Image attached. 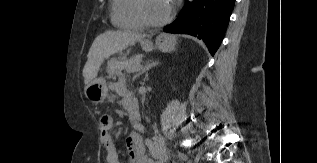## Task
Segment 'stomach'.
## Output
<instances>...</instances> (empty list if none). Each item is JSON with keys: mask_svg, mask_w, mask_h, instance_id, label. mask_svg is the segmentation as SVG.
<instances>
[{"mask_svg": "<svg viewBox=\"0 0 317 163\" xmlns=\"http://www.w3.org/2000/svg\"><path fill=\"white\" fill-rule=\"evenodd\" d=\"M176 45V38L169 34H160L156 38L155 45L148 40L141 42L144 51H151L155 47L163 52L173 51ZM85 96L93 103H102L108 97V88L103 77L95 78L84 90Z\"/></svg>", "mask_w": 317, "mask_h": 163, "instance_id": "stomach-1", "label": "stomach"}]
</instances>
